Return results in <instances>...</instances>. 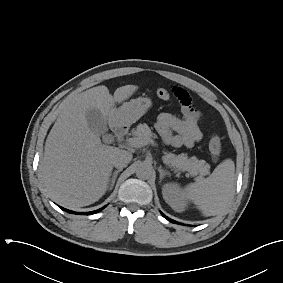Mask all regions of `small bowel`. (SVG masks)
<instances>
[{
    "instance_id": "c3829d8e",
    "label": "small bowel",
    "mask_w": 283,
    "mask_h": 283,
    "mask_svg": "<svg viewBox=\"0 0 283 283\" xmlns=\"http://www.w3.org/2000/svg\"><path fill=\"white\" fill-rule=\"evenodd\" d=\"M172 92L181 104L182 117L163 112L157 117L156 129L167 145L190 148L202 138L199 125L201 113L193 107L192 99L186 90L173 87Z\"/></svg>"
}]
</instances>
